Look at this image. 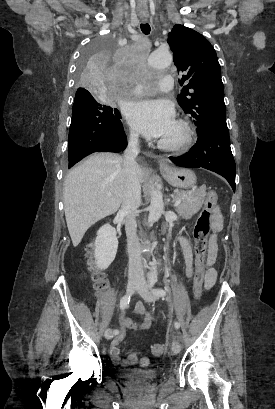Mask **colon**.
Returning a JSON list of instances; mask_svg holds the SVG:
<instances>
[{
	"mask_svg": "<svg viewBox=\"0 0 275 409\" xmlns=\"http://www.w3.org/2000/svg\"><path fill=\"white\" fill-rule=\"evenodd\" d=\"M218 194L215 191H210L205 200L204 206L201 209L194 228L195 241V281H194V296L199 299L205 283V258L207 250V238L211 227L212 212L216 205ZM97 245L90 244L86 247V253H95ZM93 280V285L99 290H105L108 286V281L102 275H97ZM163 344L161 342H154L150 356L152 358L163 357Z\"/></svg>",
	"mask_w": 275,
	"mask_h": 409,
	"instance_id": "5ec220e1",
	"label": "colon"
}]
</instances>
